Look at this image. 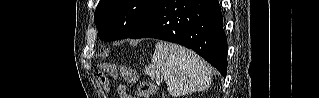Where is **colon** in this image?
<instances>
[{
    "label": "colon",
    "instance_id": "1",
    "mask_svg": "<svg viewBox=\"0 0 319 98\" xmlns=\"http://www.w3.org/2000/svg\"><path fill=\"white\" fill-rule=\"evenodd\" d=\"M105 70L107 73L113 74L114 66L112 64H106ZM125 75L127 77H135L136 76L134 73H129V72H125ZM102 82H103V84H106V82H107L106 77H102ZM154 91H155V85L152 82L144 81L140 84V86L138 88L137 97L138 98H150L151 95L154 93Z\"/></svg>",
    "mask_w": 319,
    "mask_h": 98
}]
</instances>
